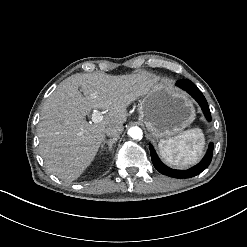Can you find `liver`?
<instances>
[{
  "label": "liver",
  "instance_id": "liver-1",
  "mask_svg": "<svg viewBox=\"0 0 247 247\" xmlns=\"http://www.w3.org/2000/svg\"><path fill=\"white\" fill-rule=\"evenodd\" d=\"M158 81L147 71L118 76L77 73L63 80L44 102L37 128L47 171L66 182L76 180L94 160L105 128L125 123L127 107ZM92 109L108 113L101 122L90 124L84 117Z\"/></svg>",
  "mask_w": 247,
  "mask_h": 247
}]
</instances>
